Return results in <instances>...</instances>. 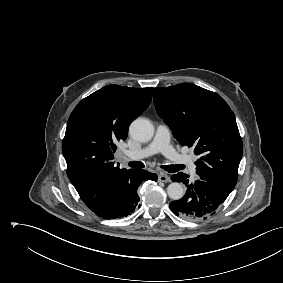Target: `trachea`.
<instances>
[{
  "label": "trachea",
  "mask_w": 283,
  "mask_h": 283,
  "mask_svg": "<svg viewBox=\"0 0 283 283\" xmlns=\"http://www.w3.org/2000/svg\"><path fill=\"white\" fill-rule=\"evenodd\" d=\"M129 166L132 168H144L145 165L140 162V161H131L129 162ZM164 170L168 171V172H177L180 171L182 169H184V165H164L161 166Z\"/></svg>",
  "instance_id": "trachea-1"
}]
</instances>
